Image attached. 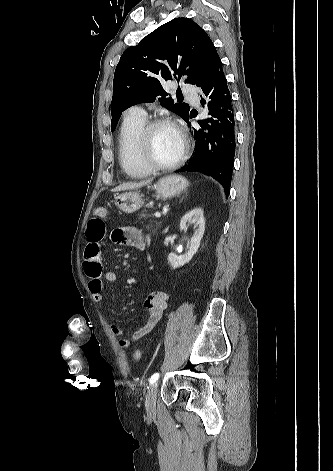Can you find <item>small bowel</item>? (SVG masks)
I'll return each mask as SVG.
<instances>
[{
    "label": "small bowel",
    "instance_id": "small-bowel-1",
    "mask_svg": "<svg viewBox=\"0 0 333 471\" xmlns=\"http://www.w3.org/2000/svg\"><path fill=\"white\" fill-rule=\"evenodd\" d=\"M105 217V216H104ZM104 217H92L86 226V247L84 251L83 267L89 277L88 287L94 301L103 300L104 282H115L117 274L114 271H103L102 253L100 242L107 234ZM111 240L120 245L143 248L145 237L141 231L134 227L126 226L114 229L110 234ZM170 296L164 291H156L148 295L144 301L146 316L143 324L131 335H126L125 331L117 324H111V332L120 337L119 344L122 348H128L132 342L140 340L148 335L160 322L164 312L169 305Z\"/></svg>",
    "mask_w": 333,
    "mask_h": 471
}]
</instances>
